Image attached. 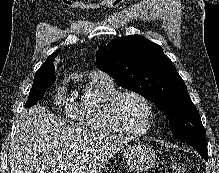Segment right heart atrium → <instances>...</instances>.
<instances>
[{"mask_svg": "<svg viewBox=\"0 0 219 173\" xmlns=\"http://www.w3.org/2000/svg\"><path fill=\"white\" fill-rule=\"evenodd\" d=\"M55 101L60 108H63L67 112H71V105L67 94V89L64 84L58 86L55 93Z\"/></svg>", "mask_w": 219, "mask_h": 173, "instance_id": "d8ad5b80", "label": "right heart atrium"}]
</instances>
